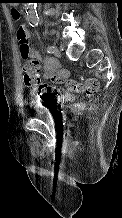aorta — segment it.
Segmentation results:
<instances>
[{
	"instance_id": "762f6f07",
	"label": "aorta",
	"mask_w": 122,
	"mask_h": 218,
	"mask_svg": "<svg viewBox=\"0 0 122 218\" xmlns=\"http://www.w3.org/2000/svg\"><path fill=\"white\" fill-rule=\"evenodd\" d=\"M27 21L31 26L38 24V15L36 11V3H27L26 7Z\"/></svg>"
}]
</instances>
